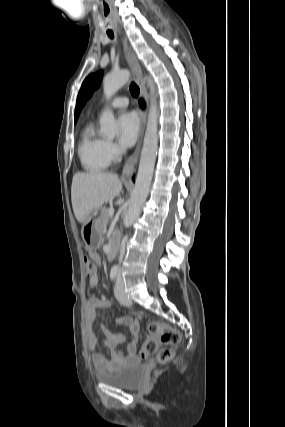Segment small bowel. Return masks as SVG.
<instances>
[{"label":"small bowel","mask_w":285,"mask_h":427,"mask_svg":"<svg viewBox=\"0 0 285 427\" xmlns=\"http://www.w3.org/2000/svg\"><path fill=\"white\" fill-rule=\"evenodd\" d=\"M90 258L96 263H100V256L96 252L90 254ZM98 285L96 277L89 280V286L95 288ZM114 306L111 300H101L98 298L89 299L85 309V336L88 348L91 351V360L96 370L104 371L111 368L121 367L131 363L137 358V337L139 334V325L132 317H121L116 321L124 325L128 333L133 337V341L127 345L125 350H120L119 346L124 343L125 335L111 331L107 326L101 323L103 330V345L109 352L110 358L97 350L98 338L95 333L94 325L98 319V310Z\"/></svg>","instance_id":"1"}]
</instances>
